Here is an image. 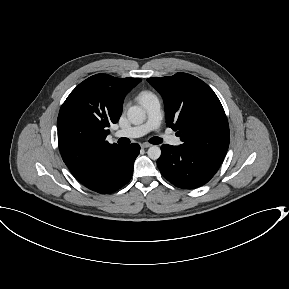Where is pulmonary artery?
<instances>
[{"label":"pulmonary artery","mask_w":289,"mask_h":289,"mask_svg":"<svg viewBox=\"0 0 289 289\" xmlns=\"http://www.w3.org/2000/svg\"><path fill=\"white\" fill-rule=\"evenodd\" d=\"M142 105L147 113L146 122L138 126L118 130L114 134L115 137L138 138L156 129L160 125L162 115L158 98L153 96L146 100ZM162 138L171 145L180 144V139L178 137L163 135Z\"/></svg>","instance_id":"pulmonary-artery-1"}]
</instances>
